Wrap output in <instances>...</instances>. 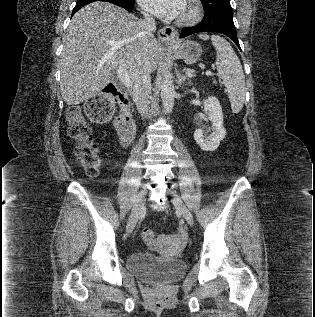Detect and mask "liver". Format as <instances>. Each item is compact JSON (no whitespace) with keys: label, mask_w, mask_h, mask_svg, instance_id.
<instances>
[{"label":"liver","mask_w":315,"mask_h":317,"mask_svg":"<svg viewBox=\"0 0 315 317\" xmlns=\"http://www.w3.org/2000/svg\"><path fill=\"white\" fill-rule=\"evenodd\" d=\"M63 42L60 91L67 105L99 94L118 67H124L132 81L145 69L155 71L161 56L155 37L144 36L142 20L106 2L81 8Z\"/></svg>","instance_id":"6515ba94"}]
</instances>
